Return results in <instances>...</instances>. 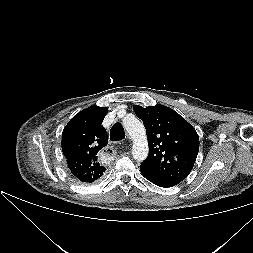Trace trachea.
<instances>
[{
  "mask_svg": "<svg viewBox=\"0 0 253 253\" xmlns=\"http://www.w3.org/2000/svg\"><path fill=\"white\" fill-rule=\"evenodd\" d=\"M125 138L123 126L120 123H115L110 130V139L112 141H120Z\"/></svg>",
  "mask_w": 253,
  "mask_h": 253,
  "instance_id": "3493384b",
  "label": "trachea"
}]
</instances>
